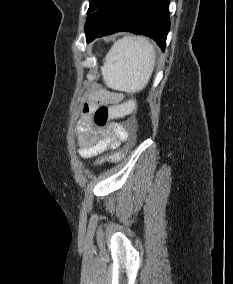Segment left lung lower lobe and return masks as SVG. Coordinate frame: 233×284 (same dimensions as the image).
I'll use <instances>...</instances> for the list:
<instances>
[{
	"label": "left lung lower lobe",
	"instance_id": "1",
	"mask_svg": "<svg viewBox=\"0 0 233 284\" xmlns=\"http://www.w3.org/2000/svg\"><path fill=\"white\" fill-rule=\"evenodd\" d=\"M169 27V0H104L86 40L126 31L152 38L164 51Z\"/></svg>",
	"mask_w": 233,
	"mask_h": 284
}]
</instances>
